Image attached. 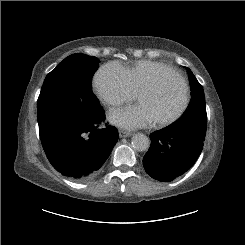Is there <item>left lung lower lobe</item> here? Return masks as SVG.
I'll use <instances>...</instances> for the list:
<instances>
[{
	"label": "left lung lower lobe",
	"instance_id": "0a47b994",
	"mask_svg": "<svg viewBox=\"0 0 245 245\" xmlns=\"http://www.w3.org/2000/svg\"><path fill=\"white\" fill-rule=\"evenodd\" d=\"M151 146L143 158L145 171L168 182L183 175L196 162L203 148L197 135L163 128L150 134Z\"/></svg>",
	"mask_w": 245,
	"mask_h": 245
}]
</instances>
